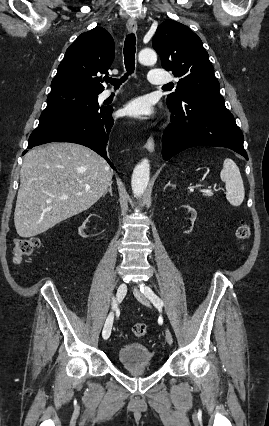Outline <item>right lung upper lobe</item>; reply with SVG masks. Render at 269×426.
Wrapping results in <instances>:
<instances>
[{
	"label": "right lung upper lobe",
	"mask_w": 269,
	"mask_h": 426,
	"mask_svg": "<svg viewBox=\"0 0 269 426\" xmlns=\"http://www.w3.org/2000/svg\"><path fill=\"white\" fill-rule=\"evenodd\" d=\"M114 56L113 38L104 28L82 33L66 50L51 92L73 89L101 93L104 87L99 75L108 73Z\"/></svg>",
	"instance_id": "right-lung-upper-lobe-1"
}]
</instances>
